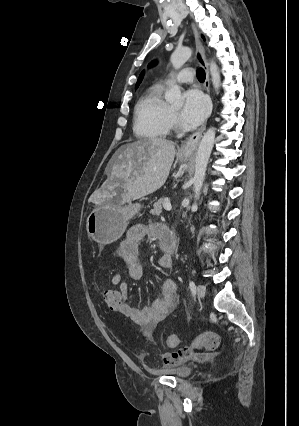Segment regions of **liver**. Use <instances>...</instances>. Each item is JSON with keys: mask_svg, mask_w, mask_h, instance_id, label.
<instances>
[{"mask_svg": "<svg viewBox=\"0 0 299 426\" xmlns=\"http://www.w3.org/2000/svg\"><path fill=\"white\" fill-rule=\"evenodd\" d=\"M175 144L162 138L140 139L122 146L107 181L105 197L123 184L122 203L139 199L161 188L167 180L174 157ZM99 202V201H97Z\"/></svg>", "mask_w": 299, "mask_h": 426, "instance_id": "liver-1", "label": "liver"}]
</instances>
